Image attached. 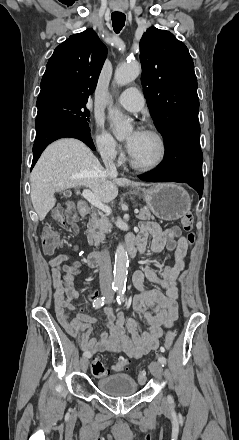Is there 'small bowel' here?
Returning a JSON list of instances; mask_svg holds the SVG:
<instances>
[{
	"label": "small bowel",
	"mask_w": 239,
	"mask_h": 440,
	"mask_svg": "<svg viewBox=\"0 0 239 440\" xmlns=\"http://www.w3.org/2000/svg\"><path fill=\"white\" fill-rule=\"evenodd\" d=\"M175 229H163L154 222H143L136 237L131 236L129 242L137 244L139 251L144 253L150 240V251L160 252L166 246L174 250L172 265L158 264V270L144 267L133 275L134 286L139 293L134 297L133 309L135 317L125 322L122 313H115L108 308L104 312L107 330L98 339L91 337L98 319L90 317L78 309L75 317L70 311L77 310L74 301L79 297L74 288L73 276L66 271L63 276L61 264L70 259L69 255L57 254L51 259L55 310L60 324L74 338L79 340L84 352L92 355L103 352H121L129 358L138 359L160 346V338L164 328L173 326L178 318V278L186 266L189 247L188 239L180 236L177 241ZM158 284L162 290L148 289L145 280ZM140 320L147 329H142ZM126 324V329L124 325Z\"/></svg>",
	"instance_id": "1"
}]
</instances>
